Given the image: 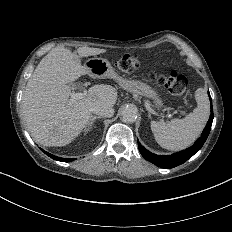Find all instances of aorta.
Returning <instances> with one entry per match:
<instances>
[{
  "label": "aorta",
  "instance_id": "obj_1",
  "mask_svg": "<svg viewBox=\"0 0 232 232\" xmlns=\"http://www.w3.org/2000/svg\"><path fill=\"white\" fill-rule=\"evenodd\" d=\"M122 120L125 123L135 122L137 119V110L134 107H125L122 109Z\"/></svg>",
  "mask_w": 232,
  "mask_h": 232
}]
</instances>
